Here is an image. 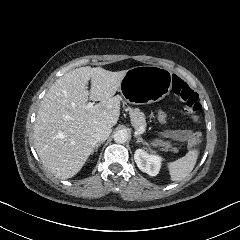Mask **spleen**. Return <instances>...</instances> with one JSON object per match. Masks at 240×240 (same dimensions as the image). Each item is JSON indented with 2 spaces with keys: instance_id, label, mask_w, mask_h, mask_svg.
<instances>
[{
  "instance_id": "obj_1",
  "label": "spleen",
  "mask_w": 240,
  "mask_h": 240,
  "mask_svg": "<svg viewBox=\"0 0 240 240\" xmlns=\"http://www.w3.org/2000/svg\"><path fill=\"white\" fill-rule=\"evenodd\" d=\"M199 151L197 149L190 150L184 157L170 162L168 164L172 181H181L186 178L193 170Z\"/></svg>"
}]
</instances>
